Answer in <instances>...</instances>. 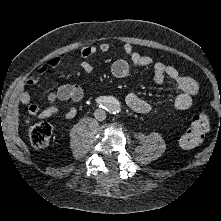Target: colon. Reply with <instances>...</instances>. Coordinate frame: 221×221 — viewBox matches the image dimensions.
I'll return each instance as SVG.
<instances>
[{
	"instance_id": "1",
	"label": "colon",
	"mask_w": 221,
	"mask_h": 221,
	"mask_svg": "<svg viewBox=\"0 0 221 221\" xmlns=\"http://www.w3.org/2000/svg\"><path fill=\"white\" fill-rule=\"evenodd\" d=\"M209 129V117L206 113L195 114L190 127L180 138V145L184 149H191L199 145ZM51 127L45 122H29L28 136L31 144L36 148H45L51 140Z\"/></svg>"
}]
</instances>
